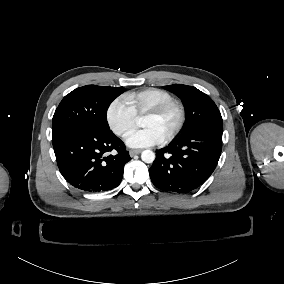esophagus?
Masks as SVG:
<instances>
[{
    "instance_id": "1",
    "label": "esophagus",
    "mask_w": 284,
    "mask_h": 284,
    "mask_svg": "<svg viewBox=\"0 0 284 284\" xmlns=\"http://www.w3.org/2000/svg\"><path fill=\"white\" fill-rule=\"evenodd\" d=\"M141 152H142L141 149H131L129 154H130L131 157H134L135 155H137V154H139Z\"/></svg>"
}]
</instances>
